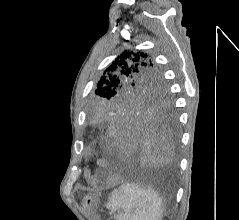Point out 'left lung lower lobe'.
I'll use <instances>...</instances> for the list:
<instances>
[{
	"mask_svg": "<svg viewBox=\"0 0 239 220\" xmlns=\"http://www.w3.org/2000/svg\"><path fill=\"white\" fill-rule=\"evenodd\" d=\"M95 127L111 166L170 164L175 158L178 130L173 112L112 107L99 113Z\"/></svg>",
	"mask_w": 239,
	"mask_h": 220,
	"instance_id": "obj_1",
	"label": "left lung lower lobe"
}]
</instances>
